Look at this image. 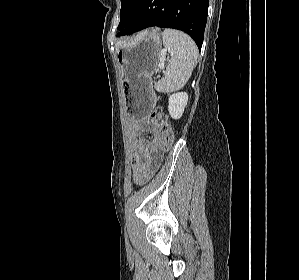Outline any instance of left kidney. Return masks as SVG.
I'll use <instances>...</instances> for the list:
<instances>
[{
  "mask_svg": "<svg viewBox=\"0 0 299 280\" xmlns=\"http://www.w3.org/2000/svg\"><path fill=\"white\" fill-rule=\"evenodd\" d=\"M188 102V94L178 92L170 95L168 111L173 119H179L183 115L184 109Z\"/></svg>",
  "mask_w": 299,
  "mask_h": 280,
  "instance_id": "obj_1",
  "label": "left kidney"
}]
</instances>
